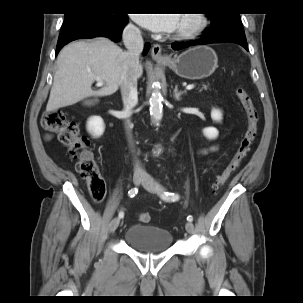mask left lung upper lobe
Listing matches in <instances>:
<instances>
[{
	"label": "left lung upper lobe",
	"mask_w": 303,
	"mask_h": 303,
	"mask_svg": "<svg viewBox=\"0 0 303 303\" xmlns=\"http://www.w3.org/2000/svg\"><path fill=\"white\" fill-rule=\"evenodd\" d=\"M211 19V27L207 28L205 35H215L224 33L245 34L238 13H215L208 15Z\"/></svg>",
	"instance_id": "obj_1"
}]
</instances>
